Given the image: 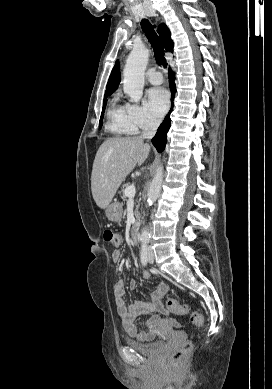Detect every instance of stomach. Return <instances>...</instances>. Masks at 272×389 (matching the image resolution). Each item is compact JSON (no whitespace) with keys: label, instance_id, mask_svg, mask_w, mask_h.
Masks as SVG:
<instances>
[{"label":"stomach","instance_id":"obj_1","mask_svg":"<svg viewBox=\"0 0 272 389\" xmlns=\"http://www.w3.org/2000/svg\"><path fill=\"white\" fill-rule=\"evenodd\" d=\"M106 216L111 221H118L122 218L123 214V208L122 204L116 200L111 202L106 210H105Z\"/></svg>","mask_w":272,"mask_h":389}]
</instances>
